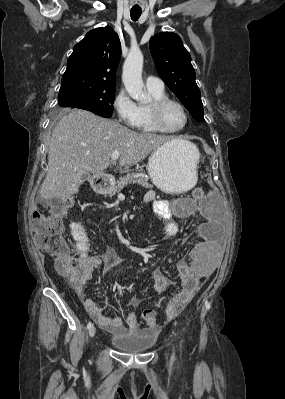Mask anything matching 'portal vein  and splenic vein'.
<instances>
[{"label": "portal vein and splenic vein", "instance_id": "1", "mask_svg": "<svg viewBox=\"0 0 285 399\" xmlns=\"http://www.w3.org/2000/svg\"><path fill=\"white\" fill-rule=\"evenodd\" d=\"M119 156H120V154L118 152H113L112 156H111L112 161L117 160L119 158Z\"/></svg>", "mask_w": 285, "mask_h": 399}]
</instances>
